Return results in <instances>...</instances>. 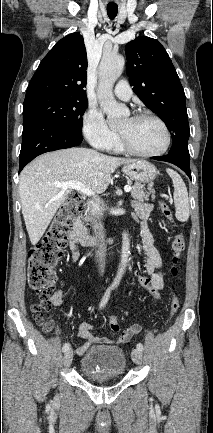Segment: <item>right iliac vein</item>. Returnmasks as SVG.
Instances as JSON below:
<instances>
[{
	"label": "right iliac vein",
	"instance_id": "1",
	"mask_svg": "<svg viewBox=\"0 0 213 433\" xmlns=\"http://www.w3.org/2000/svg\"><path fill=\"white\" fill-rule=\"evenodd\" d=\"M73 360V351L72 349H68L67 351H65L64 356H63V364L65 367H69L72 363Z\"/></svg>",
	"mask_w": 213,
	"mask_h": 433
}]
</instances>
